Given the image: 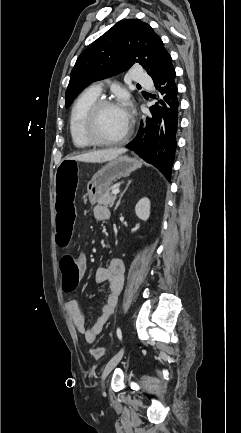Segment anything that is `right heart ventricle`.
<instances>
[{
	"mask_svg": "<svg viewBox=\"0 0 241 433\" xmlns=\"http://www.w3.org/2000/svg\"><path fill=\"white\" fill-rule=\"evenodd\" d=\"M98 95L85 90L73 104L69 119V129L72 143L76 148L87 149L93 144L85 136L83 124L90 107L97 101Z\"/></svg>",
	"mask_w": 241,
	"mask_h": 433,
	"instance_id": "right-heart-ventricle-1",
	"label": "right heart ventricle"
}]
</instances>
